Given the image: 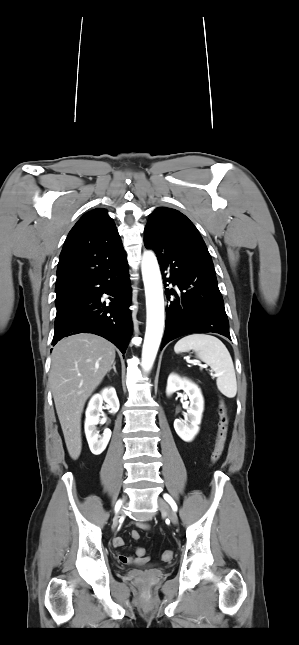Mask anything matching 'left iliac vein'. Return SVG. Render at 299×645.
Listing matches in <instances>:
<instances>
[{"label": "left iliac vein", "instance_id": "4c4485c4", "mask_svg": "<svg viewBox=\"0 0 299 645\" xmlns=\"http://www.w3.org/2000/svg\"><path fill=\"white\" fill-rule=\"evenodd\" d=\"M158 507L160 511L165 514L173 524L178 523V516L176 512L167 504L163 498H158Z\"/></svg>", "mask_w": 299, "mask_h": 645}]
</instances>
